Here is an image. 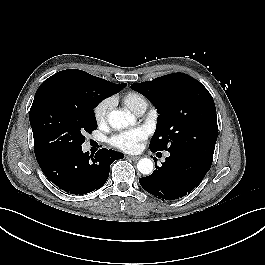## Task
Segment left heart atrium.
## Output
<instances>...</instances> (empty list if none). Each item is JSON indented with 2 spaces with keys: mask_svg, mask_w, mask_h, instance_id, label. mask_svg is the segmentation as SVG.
Returning <instances> with one entry per match:
<instances>
[{
  "mask_svg": "<svg viewBox=\"0 0 265 265\" xmlns=\"http://www.w3.org/2000/svg\"><path fill=\"white\" fill-rule=\"evenodd\" d=\"M147 137L143 128H134L114 135L110 139L111 145L125 152L139 150L141 142Z\"/></svg>",
  "mask_w": 265,
  "mask_h": 265,
  "instance_id": "1",
  "label": "left heart atrium"
}]
</instances>
